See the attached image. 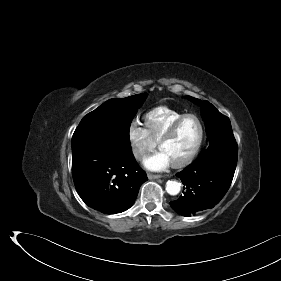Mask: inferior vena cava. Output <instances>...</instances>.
Returning a JSON list of instances; mask_svg holds the SVG:
<instances>
[{
	"instance_id": "inferior-vena-cava-1",
	"label": "inferior vena cava",
	"mask_w": 281,
	"mask_h": 281,
	"mask_svg": "<svg viewBox=\"0 0 281 281\" xmlns=\"http://www.w3.org/2000/svg\"><path fill=\"white\" fill-rule=\"evenodd\" d=\"M143 155H144V152H143V151H136V152H135V156H136L138 159L142 158Z\"/></svg>"
}]
</instances>
